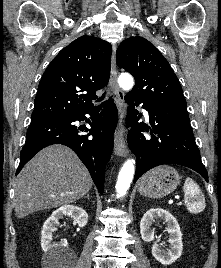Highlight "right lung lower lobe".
I'll return each instance as SVG.
<instances>
[{
  "label": "right lung lower lobe",
  "instance_id": "98d812e1",
  "mask_svg": "<svg viewBox=\"0 0 221 268\" xmlns=\"http://www.w3.org/2000/svg\"><path fill=\"white\" fill-rule=\"evenodd\" d=\"M101 107H104L103 110L97 114L96 108L92 107L69 116L32 120L26 134L25 146L20 153V164L16 175L42 148L51 144H63L75 151L88 168L102 195L105 166L112 154V135L118 121V112L111 99L103 103ZM85 114L92 116L90 129L73 124L75 121H84ZM82 131L90 133L82 134ZM90 135L93 136L92 139L89 138Z\"/></svg>",
  "mask_w": 221,
  "mask_h": 268
}]
</instances>
